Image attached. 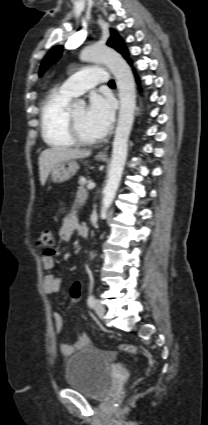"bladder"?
<instances>
[{
  "mask_svg": "<svg viewBox=\"0 0 208 425\" xmlns=\"http://www.w3.org/2000/svg\"><path fill=\"white\" fill-rule=\"evenodd\" d=\"M113 355L96 348H85L68 359L65 383L90 398H100L108 390L111 378L109 369Z\"/></svg>",
  "mask_w": 208,
  "mask_h": 425,
  "instance_id": "obj_1",
  "label": "bladder"
}]
</instances>
